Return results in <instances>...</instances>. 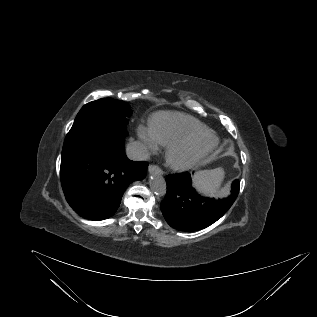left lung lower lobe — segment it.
Returning <instances> with one entry per match:
<instances>
[{
	"label": "left lung lower lobe",
	"mask_w": 317,
	"mask_h": 317,
	"mask_svg": "<svg viewBox=\"0 0 317 317\" xmlns=\"http://www.w3.org/2000/svg\"><path fill=\"white\" fill-rule=\"evenodd\" d=\"M167 193L161 202V211L167 223L181 231H197L220 219L234 203L240 183H232L231 195L223 200L202 197L191 185L189 172L168 175Z\"/></svg>",
	"instance_id": "left-lung-lower-lobe-1"
}]
</instances>
